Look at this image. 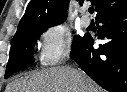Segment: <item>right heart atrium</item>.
Listing matches in <instances>:
<instances>
[{
	"label": "right heart atrium",
	"instance_id": "obj_1",
	"mask_svg": "<svg viewBox=\"0 0 127 92\" xmlns=\"http://www.w3.org/2000/svg\"><path fill=\"white\" fill-rule=\"evenodd\" d=\"M71 51V35L61 25L44 29L40 36L39 61L45 67L62 63Z\"/></svg>",
	"mask_w": 127,
	"mask_h": 92
}]
</instances>
